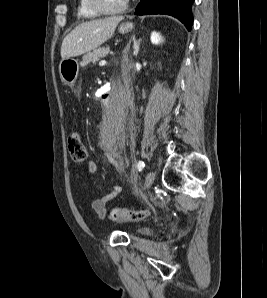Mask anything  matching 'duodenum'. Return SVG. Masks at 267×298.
Here are the masks:
<instances>
[{
	"label": "duodenum",
	"instance_id": "obj_1",
	"mask_svg": "<svg viewBox=\"0 0 267 298\" xmlns=\"http://www.w3.org/2000/svg\"><path fill=\"white\" fill-rule=\"evenodd\" d=\"M113 86H116L115 84H111L109 89L106 91V93L102 96L101 98V103L103 104H97V109H108V98H110V96L113 93Z\"/></svg>",
	"mask_w": 267,
	"mask_h": 298
}]
</instances>
